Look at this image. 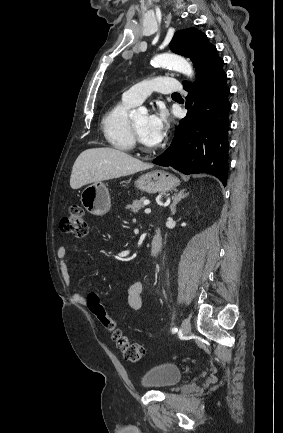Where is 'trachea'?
<instances>
[{
	"label": "trachea",
	"mask_w": 283,
	"mask_h": 433,
	"mask_svg": "<svg viewBox=\"0 0 283 433\" xmlns=\"http://www.w3.org/2000/svg\"><path fill=\"white\" fill-rule=\"evenodd\" d=\"M173 95H180V93H173Z\"/></svg>",
	"instance_id": "obj_1"
}]
</instances>
